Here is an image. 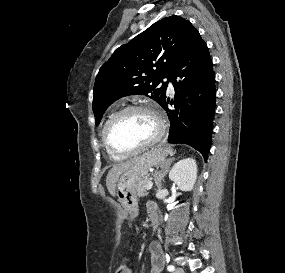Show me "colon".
Returning a JSON list of instances; mask_svg holds the SVG:
<instances>
[{
    "label": "colon",
    "instance_id": "obj_1",
    "mask_svg": "<svg viewBox=\"0 0 285 273\" xmlns=\"http://www.w3.org/2000/svg\"><path fill=\"white\" fill-rule=\"evenodd\" d=\"M127 272V269L125 268L124 265H119L116 269V272L115 273H126Z\"/></svg>",
    "mask_w": 285,
    "mask_h": 273
}]
</instances>
